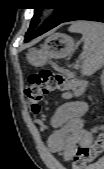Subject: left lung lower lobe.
<instances>
[{
    "instance_id": "left-lung-lower-lobe-1",
    "label": "left lung lower lobe",
    "mask_w": 104,
    "mask_h": 169,
    "mask_svg": "<svg viewBox=\"0 0 104 169\" xmlns=\"http://www.w3.org/2000/svg\"><path fill=\"white\" fill-rule=\"evenodd\" d=\"M75 20H91L104 22V7L103 3L95 0H78V4L74 11L63 22L75 21ZM62 22V23H63ZM47 31H39L34 36L25 39V42L30 41L39 35H42Z\"/></svg>"
}]
</instances>
